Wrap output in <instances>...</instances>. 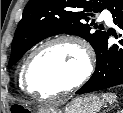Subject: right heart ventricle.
I'll use <instances>...</instances> for the list:
<instances>
[{"instance_id":"obj_1","label":"right heart ventricle","mask_w":123,"mask_h":113,"mask_svg":"<svg viewBox=\"0 0 123 113\" xmlns=\"http://www.w3.org/2000/svg\"><path fill=\"white\" fill-rule=\"evenodd\" d=\"M18 79H19V84L21 85L22 84V68L19 71Z\"/></svg>"}]
</instances>
